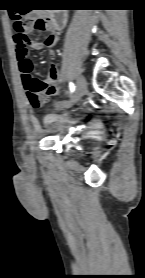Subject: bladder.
Masks as SVG:
<instances>
[{
	"mask_svg": "<svg viewBox=\"0 0 145 278\" xmlns=\"http://www.w3.org/2000/svg\"><path fill=\"white\" fill-rule=\"evenodd\" d=\"M68 126V123H61L59 126H58V129L56 131V134L57 135H62L65 131V129L67 128Z\"/></svg>",
	"mask_w": 145,
	"mask_h": 278,
	"instance_id": "obj_1",
	"label": "bladder"
}]
</instances>
